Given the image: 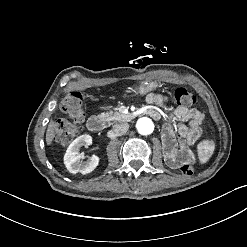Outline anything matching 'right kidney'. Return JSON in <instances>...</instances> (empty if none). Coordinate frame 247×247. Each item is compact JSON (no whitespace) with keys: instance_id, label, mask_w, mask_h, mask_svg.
Instances as JSON below:
<instances>
[{"instance_id":"right-kidney-1","label":"right kidney","mask_w":247,"mask_h":247,"mask_svg":"<svg viewBox=\"0 0 247 247\" xmlns=\"http://www.w3.org/2000/svg\"><path fill=\"white\" fill-rule=\"evenodd\" d=\"M92 144V137L90 135H81L77 137L67 148L64 155V164L70 173L87 174L92 172L99 163V158L96 155L91 156L87 161H81V154H79L82 146L88 147Z\"/></svg>"}]
</instances>
